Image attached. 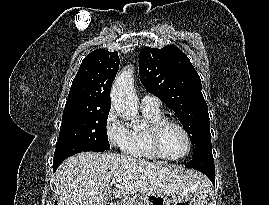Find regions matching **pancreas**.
<instances>
[{"mask_svg": "<svg viewBox=\"0 0 269 205\" xmlns=\"http://www.w3.org/2000/svg\"><path fill=\"white\" fill-rule=\"evenodd\" d=\"M126 201L128 202V205H135L136 199L135 198H128Z\"/></svg>", "mask_w": 269, "mask_h": 205, "instance_id": "pancreas-1", "label": "pancreas"}]
</instances>
